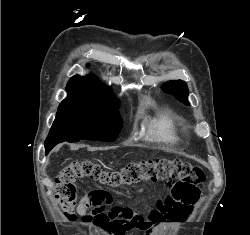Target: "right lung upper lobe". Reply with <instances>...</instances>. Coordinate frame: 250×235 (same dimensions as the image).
<instances>
[{
  "label": "right lung upper lobe",
  "mask_w": 250,
  "mask_h": 235,
  "mask_svg": "<svg viewBox=\"0 0 250 235\" xmlns=\"http://www.w3.org/2000/svg\"><path fill=\"white\" fill-rule=\"evenodd\" d=\"M66 89L68 95L65 100H110L116 98L111 89L93 74L85 77L73 76Z\"/></svg>",
  "instance_id": "1"
}]
</instances>
